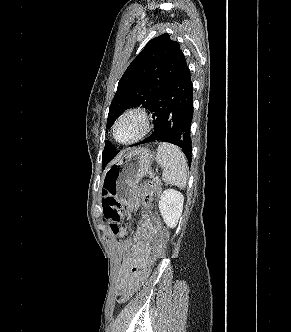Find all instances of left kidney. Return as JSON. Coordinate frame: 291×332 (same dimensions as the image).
Here are the masks:
<instances>
[{
  "label": "left kidney",
  "instance_id": "5707ae66",
  "mask_svg": "<svg viewBox=\"0 0 291 332\" xmlns=\"http://www.w3.org/2000/svg\"><path fill=\"white\" fill-rule=\"evenodd\" d=\"M184 196L177 190H165L159 200L161 216L170 228L177 226L183 210Z\"/></svg>",
  "mask_w": 291,
  "mask_h": 332
}]
</instances>
